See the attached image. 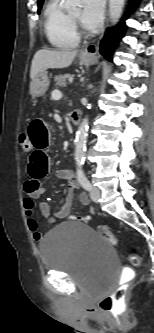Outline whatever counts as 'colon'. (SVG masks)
Here are the masks:
<instances>
[{"label": "colon", "mask_w": 154, "mask_h": 333, "mask_svg": "<svg viewBox=\"0 0 154 333\" xmlns=\"http://www.w3.org/2000/svg\"><path fill=\"white\" fill-rule=\"evenodd\" d=\"M19 144L21 147V150L24 154H27L30 152L31 145L29 142L28 135L23 133L19 137ZM73 219H76L75 217H71ZM79 220L83 222H87L89 220L88 217H80ZM99 233L107 239L111 244L116 243V238L114 234L109 230L106 226H99L98 228ZM131 263L134 266H139L141 264V259L138 256H132ZM134 277V271L130 267H125L121 274V280L120 285L117 287V289L103 297L99 302V307L102 311L106 313H110L114 316H119L123 310H124V299H125V292L128 286V283L133 279Z\"/></svg>", "instance_id": "1"}]
</instances>
